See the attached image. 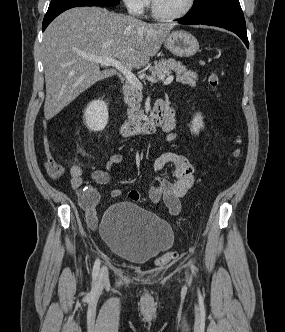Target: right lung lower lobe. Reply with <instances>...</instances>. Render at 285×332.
<instances>
[{"mask_svg":"<svg viewBox=\"0 0 285 332\" xmlns=\"http://www.w3.org/2000/svg\"><path fill=\"white\" fill-rule=\"evenodd\" d=\"M78 6H103V5L91 2H67V3L51 5L49 6L48 11L44 17L42 24V31H44L46 27L52 22V20L56 18L60 13L64 12L67 9Z\"/></svg>","mask_w":285,"mask_h":332,"instance_id":"obj_1","label":"right lung lower lobe"}]
</instances>
